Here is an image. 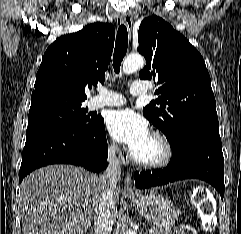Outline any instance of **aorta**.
<instances>
[{"instance_id": "1", "label": "aorta", "mask_w": 241, "mask_h": 234, "mask_svg": "<svg viewBox=\"0 0 241 234\" xmlns=\"http://www.w3.org/2000/svg\"><path fill=\"white\" fill-rule=\"evenodd\" d=\"M144 58L141 55H129L123 62V72L126 74H131L141 69L144 66ZM126 234H133L131 232H126Z\"/></svg>"}]
</instances>
